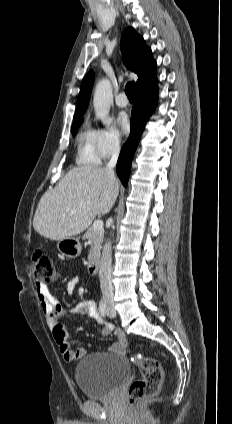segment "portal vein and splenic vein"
<instances>
[{"mask_svg":"<svg viewBox=\"0 0 232 424\" xmlns=\"http://www.w3.org/2000/svg\"><path fill=\"white\" fill-rule=\"evenodd\" d=\"M92 227L94 228V230H102L103 229V221L102 220L94 221Z\"/></svg>","mask_w":232,"mask_h":424,"instance_id":"portal-vein-and-splenic-vein-1","label":"portal vein and splenic vein"}]
</instances>
